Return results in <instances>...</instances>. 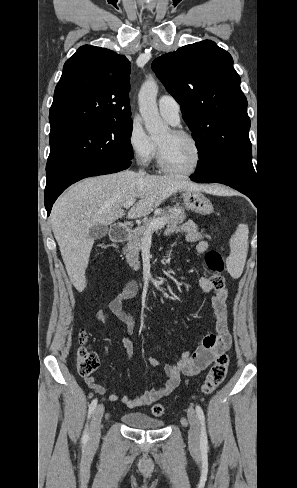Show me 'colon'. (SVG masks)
<instances>
[{
	"mask_svg": "<svg viewBox=\"0 0 297 488\" xmlns=\"http://www.w3.org/2000/svg\"><path fill=\"white\" fill-rule=\"evenodd\" d=\"M100 248H112L111 244H100ZM206 262L211 271L210 279L216 290L224 289L225 283L222 276L223 261L221 256L215 252L210 251L206 254ZM86 340L85 332L80 333V341L84 343ZM76 364L78 372L83 377H88L94 373L99 367V358L97 354L85 346L81 345L77 352ZM229 367V357L226 354L219 355L212 367L208 371L204 383L202 385V392L206 395L211 394L218 388L226 377ZM152 413L156 417H162L166 413V407L163 404H155L152 407Z\"/></svg>",
	"mask_w": 297,
	"mask_h": 488,
	"instance_id": "obj_1",
	"label": "colon"
}]
</instances>
